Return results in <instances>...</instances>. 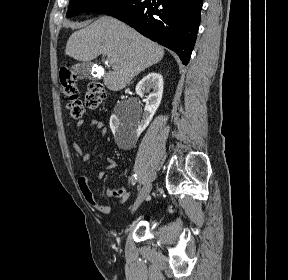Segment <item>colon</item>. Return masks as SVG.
I'll list each match as a JSON object with an SVG mask.
<instances>
[{
  "label": "colon",
  "mask_w": 288,
  "mask_h": 280,
  "mask_svg": "<svg viewBox=\"0 0 288 280\" xmlns=\"http://www.w3.org/2000/svg\"><path fill=\"white\" fill-rule=\"evenodd\" d=\"M63 93L68 99L67 109L74 119H80L84 113V105L79 99L77 76L67 68L59 74ZM105 98L104 86L99 82H89L84 96V104L89 109H96Z\"/></svg>",
  "instance_id": "obj_1"
}]
</instances>
